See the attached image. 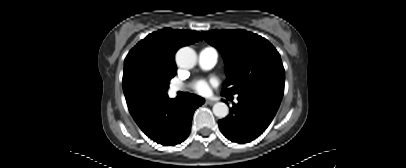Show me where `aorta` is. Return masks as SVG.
<instances>
[{
    "label": "aorta",
    "instance_id": "aorta-1",
    "mask_svg": "<svg viewBox=\"0 0 406 168\" xmlns=\"http://www.w3.org/2000/svg\"><path fill=\"white\" fill-rule=\"evenodd\" d=\"M176 63L180 68L191 69L196 65V52L190 47L179 49L175 56ZM213 113L218 118H224L229 113L228 106L223 102H217L213 106Z\"/></svg>",
    "mask_w": 406,
    "mask_h": 168
}]
</instances>
